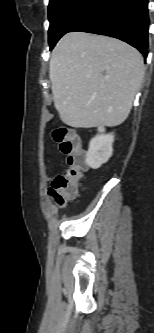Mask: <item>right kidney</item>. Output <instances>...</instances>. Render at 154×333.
<instances>
[{"label": "right kidney", "mask_w": 154, "mask_h": 333, "mask_svg": "<svg viewBox=\"0 0 154 333\" xmlns=\"http://www.w3.org/2000/svg\"><path fill=\"white\" fill-rule=\"evenodd\" d=\"M99 131L101 133L91 139L86 153V164L93 169L101 167L113 153L114 134H104L102 130Z\"/></svg>", "instance_id": "1"}]
</instances>
